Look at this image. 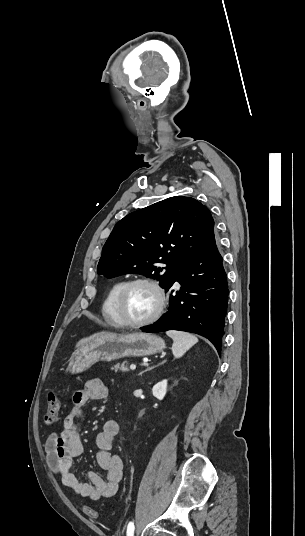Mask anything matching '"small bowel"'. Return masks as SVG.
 I'll use <instances>...</instances> for the list:
<instances>
[{"instance_id": "obj_1", "label": "small bowel", "mask_w": 305, "mask_h": 536, "mask_svg": "<svg viewBox=\"0 0 305 536\" xmlns=\"http://www.w3.org/2000/svg\"><path fill=\"white\" fill-rule=\"evenodd\" d=\"M109 395V387L100 379L87 381L82 389L74 393L72 406L63 419L62 430L51 433L45 442L46 462L51 471L60 477L64 486L93 501L113 497L123 477V461L114 453L118 423L113 419L105 421L102 431L96 436L99 449L96 460L105 471V478L88 472V481L81 482L69 469L73 459L83 454L79 429L85 405L91 400H105Z\"/></svg>"}]
</instances>
